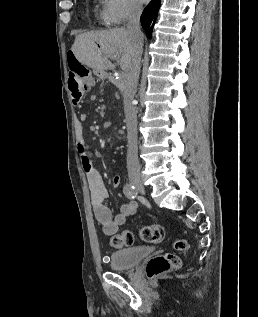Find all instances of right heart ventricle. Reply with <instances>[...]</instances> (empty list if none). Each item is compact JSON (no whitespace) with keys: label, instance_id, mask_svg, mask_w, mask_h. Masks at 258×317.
<instances>
[{"label":"right heart ventricle","instance_id":"right-heart-ventricle-1","mask_svg":"<svg viewBox=\"0 0 258 317\" xmlns=\"http://www.w3.org/2000/svg\"><path fill=\"white\" fill-rule=\"evenodd\" d=\"M101 17L104 19V10L101 13Z\"/></svg>","mask_w":258,"mask_h":317}]
</instances>
